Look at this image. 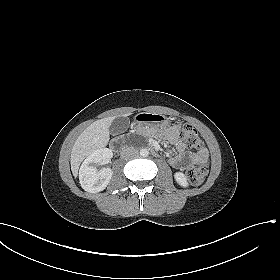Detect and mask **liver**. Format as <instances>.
<instances>
[{
	"instance_id": "1",
	"label": "liver",
	"mask_w": 280,
	"mask_h": 280,
	"mask_svg": "<svg viewBox=\"0 0 280 280\" xmlns=\"http://www.w3.org/2000/svg\"><path fill=\"white\" fill-rule=\"evenodd\" d=\"M131 113L124 114L129 116ZM116 116L103 118L89 125L76 139L71 150V171L77 176L81 162L94 150L105 147L110 139L109 127Z\"/></svg>"
}]
</instances>
